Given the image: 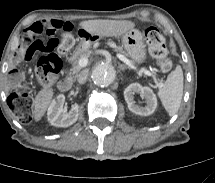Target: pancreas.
<instances>
[{"mask_svg": "<svg viewBox=\"0 0 215 183\" xmlns=\"http://www.w3.org/2000/svg\"><path fill=\"white\" fill-rule=\"evenodd\" d=\"M115 50L120 52L121 54L125 55L126 53L123 51L121 47L114 46ZM91 54V51H86L84 53H81L79 55L74 56L71 59L72 68L70 69L69 76L75 78L78 74V72L82 69V67L79 65V60L81 58H88Z\"/></svg>", "mask_w": 215, "mask_h": 183, "instance_id": "cf45deb5", "label": "pancreas"}]
</instances>
